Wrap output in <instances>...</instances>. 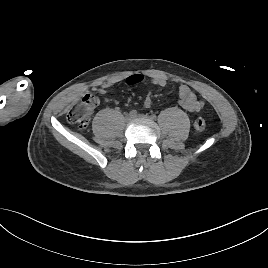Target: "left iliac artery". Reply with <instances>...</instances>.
Listing matches in <instances>:
<instances>
[{
    "instance_id": "1",
    "label": "left iliac artery",
    "mask_w": 268,
    "mask_h": 268,
    "mask_svg": "<svg viewBox=\"0 0 268 268\" xmlns=\"http://www.w3.org/2000/svg\"><path fill=\"white\" fill-rule=\"evenodd\" d=\"M150 117H151V119H156V115L155 114H152Z\"/></svg>"
}]
</instances>
